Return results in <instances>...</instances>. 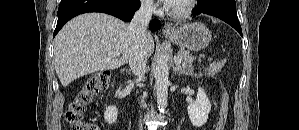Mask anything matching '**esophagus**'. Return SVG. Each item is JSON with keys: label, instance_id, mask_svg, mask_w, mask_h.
I'll list each match as a JSON object with an SVG mask.
<instances>
[{"label": "esophagus", "instance_id": "34e87169", "mask_svg": "<svg viewBox=\"0 0 299 130\" xmlns=\"http://www.w3.org/2000/svg\"><path fill=\"white\" fill-rule=\"evenodd\" d=\"M174 31V27L172 23H165L162 29L163 34H171Z\"/></svg>", "mask_w": 299, "mask_h": 130}]
</instances>
